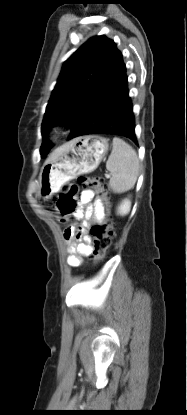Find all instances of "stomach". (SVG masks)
Here are the masks:
<instances>
[{"mask_svg": "<svg viewBox=\"0 0 187 415\" xmlns=\"http://www.w3.org/2000/svg\"><path fill=\"white\" fill-rule=\"evenodd\" d=\"M56 159L45 163L39 176L38 195L50 198L67 182L95 170L109 149V140L87 135L72 140Z\"/></svg>", "mask_w": 187, "mask_h": 415, "instance_id": "1", "label": "stomach"}]
</instances>
